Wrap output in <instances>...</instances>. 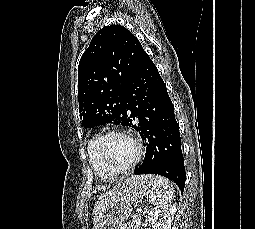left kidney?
Here are the masks:
<instances>
[{
    "label": "left kidney",
    "instance_id": "5707ae66",
    "mask_svg": "<svg viewBox=\"0 0 255 229\" xmlns=\"http://www.w3.org/2000/svg\"><path fill=\"white\" fill-rule=\"evenodd\" d=\"M175 213V204H164L149 212L148 221L153 229H171Z\"/></svg>",
    "mask_w": 255,
    "mask_h": 229
}]
</instances>
